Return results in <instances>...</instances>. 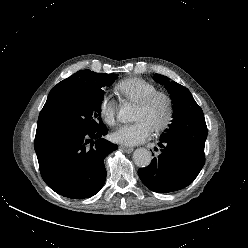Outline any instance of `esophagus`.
Listing matches in <instances>:
<instances>
[{"label":"esophagus","mask_w":248,"mask_h":248,"mask_svg":"<svg viewBox=\"0 0 248 248\" xmlns=\"http://www.w3.org/2000/svg\"><path fill=\"white\" fill-rule=\"evenodd\" d=\"M120 148L122 150H124L125 152H127V153H131L133 151V148L132 147H128V146L121 145Z\"/></svg>","instance_id":"34e87169"}]
</instances>
